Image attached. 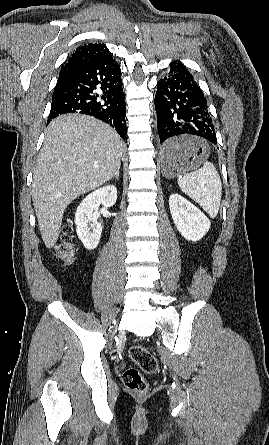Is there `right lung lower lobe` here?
<instances>
[{"label":"right lung lower lobe","mask_w":269,"mask_h":445,"mask_svg":"<svg viewBox=\"0 0 269 445\" xmlns=\"http://www.w3.org/2000/svg\"><path fill=\"white\" fill-rule=\"evenodd\" d=\"M47 124L65 113L94 116L126 139V103L120 66L112 56L86 65L56 84Z\"/></svg>","instance_id":"1"}]
</instances>
